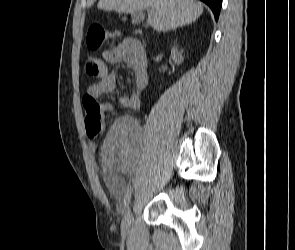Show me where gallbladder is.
Returning <instances> with one entry per match:
<instances>
[{
    "label": "gallbladder",
    "mask_w": 295,
    "mask_h": 250,
    "mask_svg": "<svg viewBox=\"0 0 295 250\" xmlns=\"http://www.w3.org/2000/svg\"><path fill=\"white\" fill-rule=\"evenodd\" d=\"M133 17H134V19L137 20V21H139V20L142 19V16H141L140 13H138V12L134 13V14H133Z\"/></svg>",
    "instance_id": "bac80fb5"
}]
</instances>
